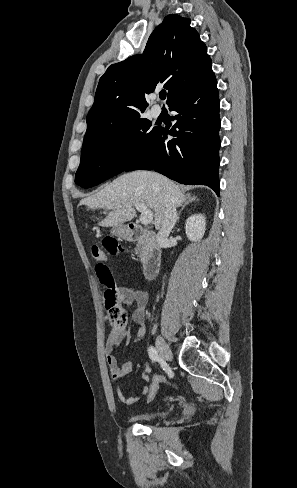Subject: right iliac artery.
<instances>
[{
	"label": "right iliac artery",
	"instance_id": "82829eb1",
	"mask_svg": "<svg viewBox=\"0 0 297 488\" xmlns=\"http://www.w3.org/2000/svg\"><path fill=\"white\" fill-rule=\"evenodd\" d=\"M148 354L152 361H158L160 359L157 350L153 346L148 348Z\"/></svg>",
	"mask_w": 297,
	"mask_h": 488
}]
</instances>
